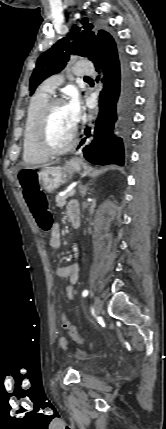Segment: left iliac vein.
<instances>
[{"mask_svg":"<svg viewBox=\"0 0 166 429\" xmlns=\"http://www.w3.org/2000/svg\"><path fill=\"white\" fill-rule=\"evenodd\" d=\"M102 308H103L102 300L99 297H97L94 302V309H95L96 315L101 314Z\"/></svg>","mask_w":166,"mask_h":429,"instance_id":"1","label":"left iliac vein"}]
</instances>
